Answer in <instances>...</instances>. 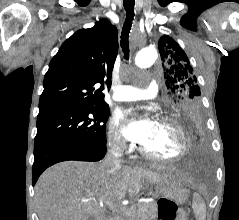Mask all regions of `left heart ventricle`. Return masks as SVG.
<instances>
[{
    "label": "left heart ventricle",
    "instance_id": "obj_1",
    "mask_svg": "<svg viewBox=\"0 0 239 220\" xmlns=\"http://www.w3.org/2000/svg\"><path fill=\"white\" fill-rule=\"evenodd\" d=\"M180 136L170 124L151 121L150 133L142 145L150 152L171 157L180 151Z\"/></svg>",
    "mask_w": 239,
    "mask_h": 220
}]
</instances>
